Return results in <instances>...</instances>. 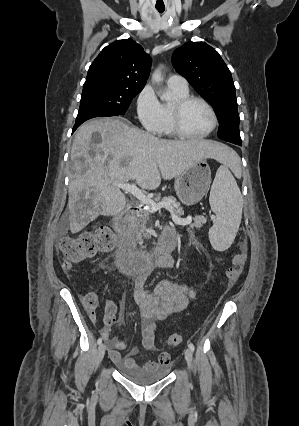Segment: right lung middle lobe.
Masks as SVG:
<instances>
[{"instance_id": "dd1d6c3e", "label": "right lung middle lobe", "mask_w": 299, "mask_h": 426, "mask_svg": "<svg viewBox=\"0 0 299 426\" xmlns=\"http://www.w3.org/2000/svg\"><path fill=\"white\" fill-rule=\"evenodd\" d=\"M141 89H127L108 84L83 86L79 113L89 109L105 110L115 115H124L132 99Z\"/></svg>"}]
</instances>
